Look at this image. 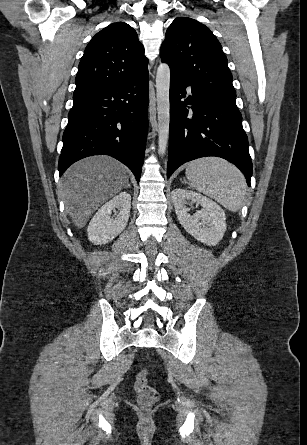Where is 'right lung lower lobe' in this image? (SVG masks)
<instances>
[{
  "label": "right lung lower lobe",
  "mask_w": 307,
  "mask_h": 445,
  "mask_svg": "<svg viewBox=\"0 0 307 445\" xmlns=\"http://www.w3.org/2000/svg\"><path fill=\"white\" fill-rule=\"evenodd\" d=\"M148 87L146 71L73 95L58 164L60 176L79 159L107 154L128 166L139 182L148 131Z\"/></svg>",
  "instance_id": "obj_1"
}]
</instances>
